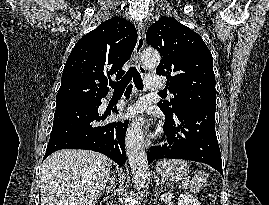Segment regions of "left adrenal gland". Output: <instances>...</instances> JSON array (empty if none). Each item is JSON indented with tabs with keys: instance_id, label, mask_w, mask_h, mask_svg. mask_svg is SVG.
I'll use <instances>...</instances> for the list:
<instances>
[{
	"instance_id": "left-adrenal-gland-1",
	"label": "left adrenal gland",
	"mask_w": 269,
	"mask_h": 205,
	"mask_svg": "<svg viewBox=\"0 0 269 205\" xmlns=\"http://www.w3.org/2000/svg\"><path fill=\"white\" fill-rule=\"evenodd\" d=\"M155 178V181H156V185L158 186V185H162V184H164V181L163 180H160L157 176H155L154 177Z\"/></svg>"
}]
</instances>
